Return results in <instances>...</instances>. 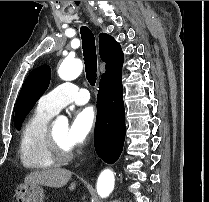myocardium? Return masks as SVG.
<instances>
[{
  "label": "myocardium",
  "instance_id": "1",
  "mask_svg": "<svg viewBox=\"0 0 209 202\" xmlns=\"http://www.w3.org/2000/svg\"><path fill=\"white\" fill-rule=\"evenodd\" d=\"M46 141L49 150L55 157V159L60 161H66L73 157V149L62 145L59 140L56 138L53 128L48 127L46 130Z\"/></svg>",
  "mask_w": 209,
  "mask_h": 202
}]
</instances>
